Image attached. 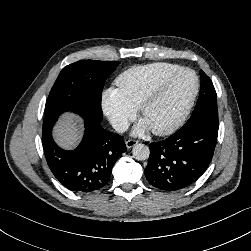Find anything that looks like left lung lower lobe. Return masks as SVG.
<instances>
[{"label":"left lung lower lobe","mask_w":251,"mask_h":251,"mask_svg":"<svg viewBox=\"0 0 251 251\" xmlns=\"http://www.w3.org/2000/svg\"><path fill=\"white\" fill-rule=\"evenodd\" d=\"M217 136L218 123L202 120L184 125L163 141L151 143L146 179L164 191L187 188L210 164Z\"/></svg>","instance_id":"obj_1"}]
</instances>
